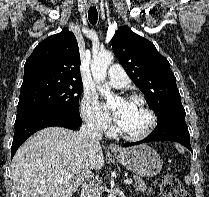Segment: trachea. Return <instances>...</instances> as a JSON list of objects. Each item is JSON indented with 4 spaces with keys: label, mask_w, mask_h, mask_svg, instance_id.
Listing matches in <instances>:
<instances>
[{
    "label": "trachea",
    "mask_w": 209,
    "mask_h": 197,
    "mask_svg": "<svg viewBox=\"0 0 209 197\" xmlns=\"http://www.w3.org/2000/svg\"><path fill=\"white\" fill-rule=\"evenodd\" d=\"M88 19L92 25H95L98 20V12L95 6L90 7L88 10Z\"/></svg>",
    "instance_id": "3493384b"
}]
</instances>
